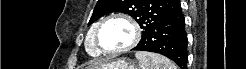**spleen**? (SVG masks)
Listing matches in <instances>:
<instances>
[{"label":"spleen","mask_w":246,"mask_h":69,"mask_svg":"<svg viewBox=\"0 0 246 69\" xmlns=\"http://www.w3.org/2000/svg\"><path fill=\"white\" fill-rule=\"evenodd\" d=\"M140 69H178L168 58L156 53L138 51L135 53Z\"/></svg>","instance_id":"3e777b00"}]
</instances>
